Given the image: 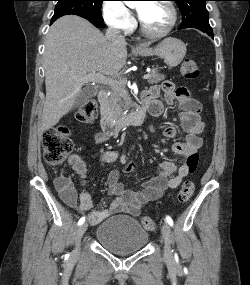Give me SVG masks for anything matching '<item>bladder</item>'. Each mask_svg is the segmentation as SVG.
<instances>
[{"label": "bladder", "mask_w": 250, "mask_h": 285, "mask_svg": "<svg viewBox=\"0 0 250 285\" xmlns=\"http://www.w3.org/2000/svg\"><path fill=\"white\" fill-rule=\"evenodd\" d=\"M98 243L108 251L125 255L137 252L148 242V233L132 217L117 215L101 222L95 232Z\"/></svg>", "instance_id": "1"}]
</instances>
